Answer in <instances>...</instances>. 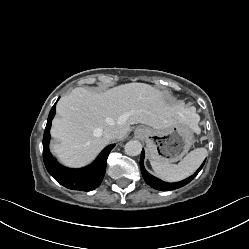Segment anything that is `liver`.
Segmentation results:
<instances>
[{
	"label": "liver",
	"mask_w": 249,
	"mask_h": 249,
	"mask_svg": "<svg viewBox=\"0 0 249 249\" xmlns=\"http://www.w3.org/2000/svg\"><path fill=\"white\" fill-rule=\"evenodd\" d=\"M51 145L59 160L70 167L89 163L109 143L104 130L112 127L123 139L133 124H145L164 130L179 120H190L199 133L200 117L195 108L183 103H170L160 90L145 83H128L97 93L82 87L63 96L56 107Z\"/></svg>",
	"instance_id": "liver-1"
}]
</instances>
